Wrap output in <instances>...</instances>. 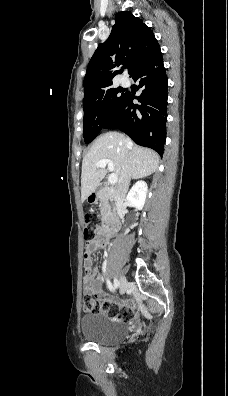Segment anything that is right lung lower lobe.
<instances>
[{"mask_svg":"<svg viewBox=\"0 0 228 396\" xmlns=\"http://www.w3.org/2000/svg\"><path fill=\"white\" fill-rule=\"evenodd\" d=\"M132 78L139 81L137 88L142 93L135 99L140 104L134 105V95L127 92L104 128L120 129L138 145L152 148L162 155L166 139L168 79L160 46Z\"/></svg>","mask_w":228,"mask_h":396,"instance_id":"1","label":"right lung lower lobe"}]
</instances>
